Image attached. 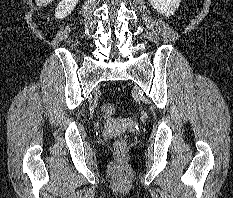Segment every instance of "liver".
Instances as JSON below:
<instances>
[{"label": "liver", "instance_id": "obj_1", "mask_svg": "<svg viewBox=\"0 0 233 198\" xmlns=\"http://www.w3.org/2000/svg\"><path fill=\"white\" fill-rule=\"evenodd\" d=\"M54 0H35V3L38 5V6H46L50 3H52Z\"/></svg>", "mask_w": 233, "mask_h": 198}]
</instances>
